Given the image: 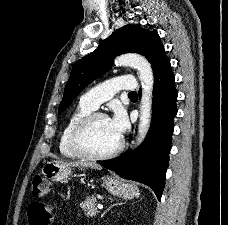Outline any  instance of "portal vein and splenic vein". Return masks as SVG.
Wrapping results in <instances>:
<instances>
[{"mask_svg": "<svg viewBox=\"0 0 228 225\" xmlns=\"http://www.w3.org/2000/svg\"><path fill=\"white\" fill-rule=\"evenodd\" d=\"M98 209H103V205H98Z\"/></svg>", "mask_w": 228, "mask_h": 225, "instance_id": "18ae733b", "label": "portal vein and splenic vein"}]
</instances>
